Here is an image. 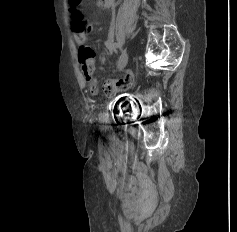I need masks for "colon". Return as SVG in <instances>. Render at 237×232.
I'll return each mask as SVG.
<instances>
[{"mask_svg": "<svg viewBox=\"0 0 237 232\" xmlns=\"http://www.w3.org/2000/svg\"><path fill=\"white\" fill-rule=\"evenodd\" d=\"M70 1V20L71 27L75 33H87L90 31V25L84 20L81 9L82 0Z\"/></svg>", "mask_w": 237, "mask_h": 232, "instance_id": "1", "label": "colon"}]
</instances>
